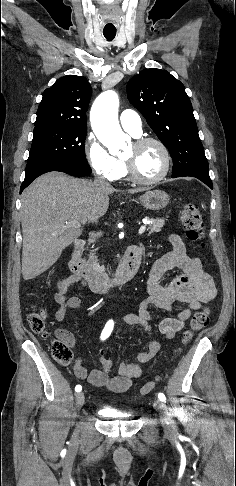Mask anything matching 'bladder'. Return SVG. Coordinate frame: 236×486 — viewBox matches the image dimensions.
<instances>
[{"label": "bladder", "mask_w": 236, "mask_h": 486, "mask_svg": "<svg viewBox=\"0 0 236 486\" xmlns=\"http://www.w3.org/2000/svg\"><path fill=\"white\" fill-rule=\"evenodd\" d=\"M100 414L105 417L117 418V419H129L131 414L124 412L109 406H104L99 410Z\"/></svg>", "instance_id": "1"}]
</instances>
